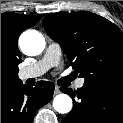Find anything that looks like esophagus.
Wrapping results in <instances>:
<instances>
[{"mask_svg": "<svg viewBox=\"0 0 123 123\" xmlns=\"http://www.w3.org/2000/svg\"><path fill=\"white\" fill-rule=\"evenodd\" d=\"M60 93V87L59 86H55L54 88V94L57 95Z\"/></svg>", "mask_w": 123, "mask_h": 123, "instance_id": "esophagus-1", "label": "esophagus"}]
</instances>
